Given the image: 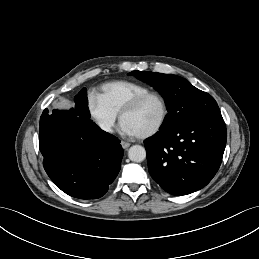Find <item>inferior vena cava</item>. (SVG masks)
Instances as JSON below:
<instances>
[{
  "label": "inferior vena cava",
  "instance_id": "602c4592",
  "mask_svg": "<svg viewBox=\"0 0 259 259\" xmlns=\"http://www.w3.org/2000/svg\"><path fill=\"white\" fill-rule=\"evenodd\" d=\"M99 126L106 132H112L111 125L108 122H99Z\"/></svg>",
  "mask_w": 259,
  "mask_h": 259
}]
</instances>
